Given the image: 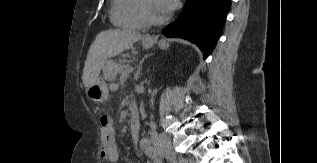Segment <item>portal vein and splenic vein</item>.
Listing matches in <instances>:
<instances>
[{
    "label": "portal vein and splenic vein",
    "mask_w": 317,
    "mask_h": 163,
    "mask_svg": "<svg viewBox=\"0 0 317 163\" xmlns=\"http://www.w3.org/2000/svg\"><path fill=\"white\" fill-rule=\"evenodd\" d=\"M130 71H132V69H131V68H128V69H126V70L122 73V75H126V74H128Z\"/></svg>",
    "instance_id": "18ae733b"
}]
</instances>
